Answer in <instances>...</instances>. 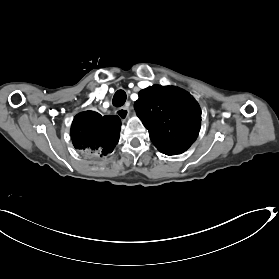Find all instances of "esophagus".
<instances>
[{
    "instance_id": "1",
    "label": "esophagus",
    "mask_w": 279,
    "mask_h": 279,
    "mask_svg": "<svg viewBox=\"0 0 279 279\" xmlns=\"http://www.w3.org/2000/svg\"><path fill=\"white\" fill-rule=\"evenodd\" d=\"M115 114L121 119V120H126L129 116V106L125 105L123 107L118 108L115 111Z\"/></svg>"
}]
</instances>
